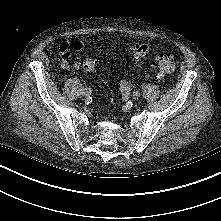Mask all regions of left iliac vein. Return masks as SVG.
<instances>
[{
    "instance_id": "left-iliac-vein-1",
    "label": "left iliac vein",
    "mask_w": 221,
    "mask_h": 221,
    "mask_svg": "<svg viewBox=\"0 0 221 221\" xmlns=\"http://www.w3.org/2000/svg\"><path fill=\"white\" fill-rule=\"evenodd\" d=\"M141 96V92L139 90H136L132 93V97L134 99H138Z\"/></svg>"
}]
</instances>
